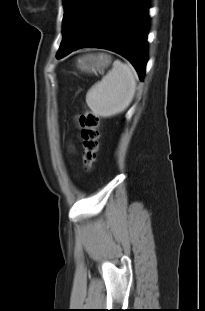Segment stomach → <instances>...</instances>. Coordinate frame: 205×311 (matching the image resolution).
I'll return each mask as SVG.
<instances>
[{
    "instance_id": "1",
    "label": "stomach",
    "mask_w": 205,
    "mask_h": 311,
    "mask_svg": "<svg viewBox=\"0 0 205 311\" xmlns=\"http://www.w3.org/2000/svg\"><path fill=\"white\" fill-rule=\"evenodd\" d=\"M111 61V57L104 53L86 54L77 59L76 67L86 74L103 73Z\"/></svg>"
}]
</instances>
